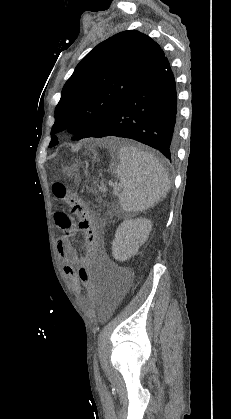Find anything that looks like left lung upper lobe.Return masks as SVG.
<instances>
[{"label": "left lung upper lobe", "instance_id": "1", "mask_svg": "<svg viewBox=\"0 0 231 419\" xmlns=\"http://www.w3.org/2000/svg\"><path fill=\"white\" fill-rule=\"evenodd\" d=\"M164 57L155 41L135 30L120 32L98 44L76 66L62 89L49 147L58 144L54 134L65 129L76 133L72 140L98 132Z\"/></svg>", "mask_w": 231, "mask_h": 419}]
</instances>
